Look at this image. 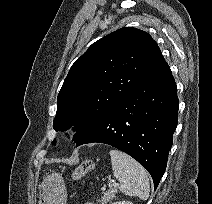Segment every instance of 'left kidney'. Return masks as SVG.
Returning <instances> with one entry per match:
<instances>
[{
	"label": "left kidney",
	"mask_w": 212,
	"mask_h": 204,
	"mask_svg": "<svg viewBox=\"0 0 212 204\" xmlns=\"http://www.w3.org/2000/svg\"><path fill=\"white\" fill-rule=\"evenodd\" d=\"M112 204H133L131 201H118V202H114Z\"/></svg>",
	"instance_id": "5707ae66"
}]
</instances>
